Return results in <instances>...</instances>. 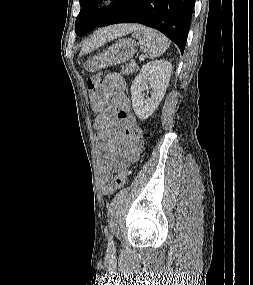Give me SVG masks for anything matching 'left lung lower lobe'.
<instances>
[{
	"label": "left lung lower lobe",
	"instance_id": "1",
	"mask_svg": "<svg viewBox=\"0 0 253 285\" xmlns=\"http://www.w3.org/2000/svg\"><path fill=\"white\" fill-rule=\"evenodd\" d=\"M195 0H117L99 27L140 23L164 33L183 54Z\"/></svg>",
	"mask_w": 253,
	"mask_h": 285
}]
</instances>
